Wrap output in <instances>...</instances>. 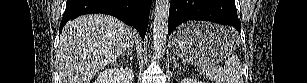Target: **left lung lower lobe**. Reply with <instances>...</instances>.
I'll return each mask as SVG.
<instances>
[{"instance_id": "left-lung-lower-lobe-1", "label": "left lung lower lobe", "mask_w": 307, "mask_h": 83, "mask_svg": "<svg viewBox=\"0 0 307 83\" xmlns=\"http://www.w3.org/2000/svg\"><path fill=\"white\" fill-rule=\"evenodd\" d=\"M187 20L230 24L238 32L241 29L234 0H171L168 34Z\"/></svg>"}]
</instances>
